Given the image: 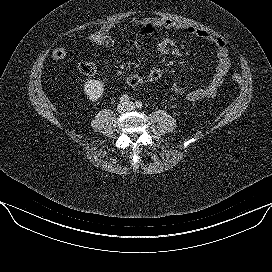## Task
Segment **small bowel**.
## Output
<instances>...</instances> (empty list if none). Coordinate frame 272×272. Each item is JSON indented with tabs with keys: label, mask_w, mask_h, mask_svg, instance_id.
I'll return each instance as SVG.
<instances>
[{
	"label": "small bowel",
	"mask_w": 272,
	"mask_h": 272,
	"mask_svg": "<svg viewBox=\"0 0 272 272\" xmlns=\"http://www.w3.org/2000/svg\"><path fill=\"white\" fill-rule=\"evenodd\" d=\"M133 24L145 26L151 25L152 27H158L167 31H183L190 36L197 37L211 43L216 50L217 64L215 73L210 80L203 86L195 87L189 90L179 83H174L172 86V91L178 96L184 97L189 101H199L204 98L215 96L218 89L224 82L230 68L228 48L226 43L221 38L205 30L165 18H136L133 20ZM115 25L116 24L114 22H109L103 25L101 29L111 33ZM165 55H172L175 57L183 56V52L177 47L175 41L167 36H163L159 39L156 45V52L153 53L151 57Z\"/></svg>",
	"instance_id": "obj_1"
}]
</instances>
